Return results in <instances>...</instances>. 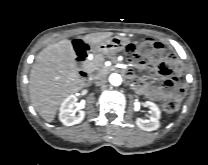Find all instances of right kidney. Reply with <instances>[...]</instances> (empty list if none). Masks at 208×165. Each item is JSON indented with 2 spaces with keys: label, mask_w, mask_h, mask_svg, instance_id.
Segmentation results:
<instances>
[{
  "label": "right kidney",
  "mask_w": 208,
  "mask_h": 165,
  "mask_svg": "<svg viewBox=\"0 0 208 165\" xmlns=\"http://www.w3.org/2000/svg\"><path fill=\"white\" fill-rule=\"evenodd\" d=\"M76 102L77 97L75 95H70L61 104L59 120L65 126L79 124L85 117V111H79L77 115L72 114V112H74V107L77 104Z\"/></svg>",
  "instance_id": "ca27d5eb"
}]
</instances>
